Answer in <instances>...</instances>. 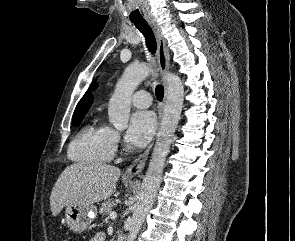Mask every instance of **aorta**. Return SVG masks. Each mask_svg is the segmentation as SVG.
Masks as SVG:
<instances>
[{"instance_id": "762f6f07", "label": "aorta", "mask_w": 295, "mask_h": 241, "mask_svg": "<svg viewBox=\"0 0 295 241\" xmlns=\"http://www.w3.org/2000/svg\"><path fill=\"white\" fill-rule=\"evenodd\" d=\"M146 64L129 65L118 80L109 101L110 123L118 130L128 126L131 97L136 87L151 73ZM166 104L148 170L143 178L138 200L134 206L127 241H134L150 211L161 183L166 157L175 134L184 101V86L178 75L165 74Z\"/></svg>"}]
</instances>
